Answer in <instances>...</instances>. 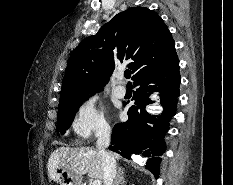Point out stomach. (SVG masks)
<instances>
[{"label":"stomach","mask_w":233,"mask_h":185,"mask_svg":"<svg viewBox=\"0 0 233 185\" xmlns=\"http://www.w3.org/2000/svg\"><path fill=\"white\" fill-rule=\"evenodd\" d=\"M52 179L58 185H81L80 176L64 169H58Z\"/></svg>","instance_id":"obj_1"}]
</instances>
